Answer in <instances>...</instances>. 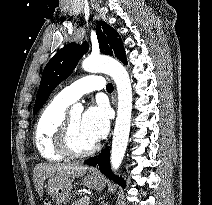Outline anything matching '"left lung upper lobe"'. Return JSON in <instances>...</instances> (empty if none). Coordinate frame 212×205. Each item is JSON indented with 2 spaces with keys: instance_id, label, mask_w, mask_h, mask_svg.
Here are the masks:
<instances>
[{
  "instance_id": "left-lung-upper-lobe-1",
  "label": "left lung upper lobe",
  "mask_w": 212,
  "mask_h": 205,
  "mask_svg": "<svg viewBox=\"0 0 212 205\" xmlns=\"http://www.w3.org/2000/svg\"><path fill=\"white\" fill-rule=\"evenodd\" d=\"M96 34L103 54L117 57L121 62L126 61L125 50L118 33L104 21L96 27ZM88 45L70 43L60 49L45 66L40 86L37 92L33 113L40 109L51 92L65 80L75 69L79 59L87 52Z\"/></svg>"
}]
</instances>
